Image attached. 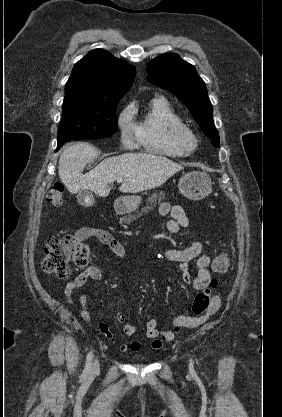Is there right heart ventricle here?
<instances>
[{
  "label": "right heart ventricle",
  "instance_id": "obj_1",
  "mask_svg": "<svg viewBox=\"0 0 282 417\" xmlns=\"http://www.w3.org/2000/svg\"><path fill=\"white\" fill-rule=\"evenodd\" d=\"M128 115L134 119L139 142L148 150L170 156H179L182 151L174 144L170 134L163 131L165 121L180 123L169 102L163 97H156L147 111L138 117V109L132 106Z\"/></svg>",
  "mask_w": 282,
  "mask_h": 417
}]
</instances>
